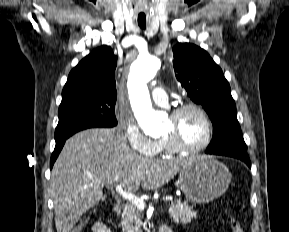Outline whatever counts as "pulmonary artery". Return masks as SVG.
<instances>
[{"mask_svg":"<svg viewBox=\"0 0 289 232\" xmlns=\"http://www.w3.org/2000/svg\"><path fill=\"white\" fill-rule=\"evenodd\" d=\"M151 97L153 102L159 106H167L168 104V96L162 88H154L152 90Z\"/></svg>","mask_w":289,"mask_h":232,"instance_id":"e3ab8cb5","label":"pulmonary artery"}]
</instances>
